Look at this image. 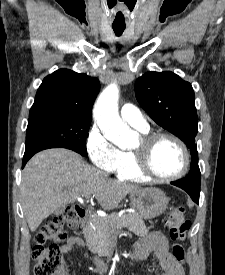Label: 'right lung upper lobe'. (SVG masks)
Here are the masks:
<instances>
[{"label": "right lung upper lobe", "instance_id": "cb5924a9", "mask_svg": "<svg viewBox=\"0 0 225 275\" xmlns=\"http://www.w3.org/2000/svg\"><path fill=\"white\" fill-rule=\"evenodd\" d=\"M100 90L96 77L59 69L44 78L38 88L29 118L44 115L89 117Z\"/></svg>", "mask_w": 225, "mask_h": 275}]
</instances>
